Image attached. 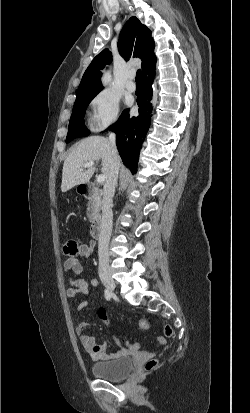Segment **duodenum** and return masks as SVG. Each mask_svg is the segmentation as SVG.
<instances>
[{"instance_id":"duodenum-1","label":"duodenum","mask_w":250,"mask_h":413,"mask_svg":"<svg viewBox=\"0 0 250 413\" xmlns=\"http://www.w3.org/2000/svg\"><path fill=\"white\" fill-rule=\"evenodd\" d=\"M81 194L86 198H91L93 196L99 195L100 191L91 183L82 185ZM102 233V222L100 218H95L90 227V234L93 238L97 239Z\"/></svg>"}]
</instances>
